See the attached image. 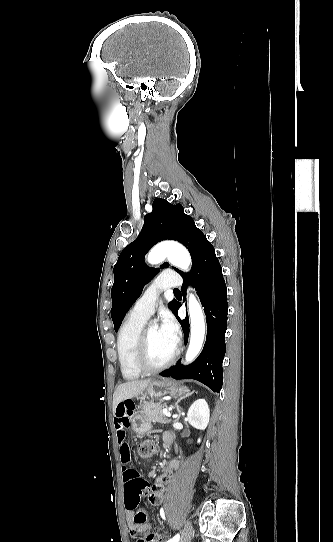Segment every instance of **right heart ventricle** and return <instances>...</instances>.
<instances>
[{
	"instance_id": "obj_1",
	"label": "right heart ventricle",
	"mask_w": 333,
	"mask_h": 542,
	"mask_svg": "<svg viewBox=\"0 0 333 542\" xmlns=\"http://www.w3.org/2000/svg\"><path fill=\"white\" fill-rule=\"evenodd\" d=\"M146 319L129 315L121 326L117 336V353L122 376L127 380H135L142 373L135 368L134 347L139 334L143 330Z\"/></svg>"
}]
</instances>
